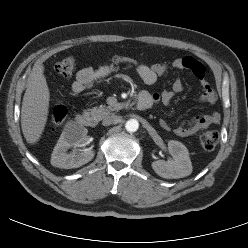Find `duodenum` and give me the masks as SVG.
Returning a JSON list of instances; mask_svg holds the SVG:
<instances>
[{"mask_svg": "<svg viewBox=\"0 0 248 248\" xmlns=\"http://www.w3.org/2000/svg\"><path fill=\"white\" fill-rule=\"evenodd\" d=\"M150 96L147 93H142L138 100V108L140 110H147L151 107ZM76 122L88 128H94L97 125L96 118L91 115L79 113L76 117Z\"/></svg>", "mask_w": 248, "mask_h": 248, "instance_id": "410a0bca", "label": "duodenum"}]
</instances>
